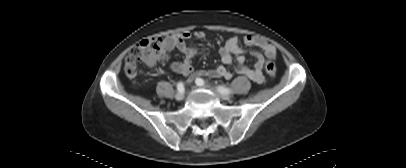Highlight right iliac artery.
I'll return each instance as SVG.
<instances>
[{
    "mask_svg": "<svg viewBox=\"0 0 406 168\" xmlns=\"http://www.w3.org/2000/svg\"><path fill=\"white\" fill-rule=\"evenodd\" d=\"M177 90H178L180 93H183V92H184V84H183L182 82H179V83L177 84Z\"/></svg>",
    "mask_w": 406,
    "mask_h": 168,
    "instance_id": "1",
    "label": "right iliac artery"
}]
</instances>
